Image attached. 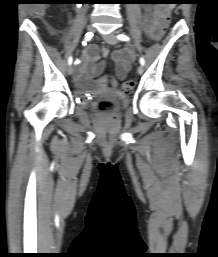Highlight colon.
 <instances>
[{
  "instance_id": "5ec220e1",
  "label": "colon",
  "mask_w": 218,
  "mask_h": 257,
  "mask_svg": "<svg viewBox=\"0 0 218 257\" xmlns=\"http://www.w3.org/2000/svg\"><path fill=\"white\" fill-rule=\"evenodd\" d=\"M167 15H165V21H158L156 28L154 30V39H163V35L167 34V31H171L172 22V8H167ZM92 84H95V90H114L116 84H118V79H115V74H112L111 70H105L104 74H96V79L91 80ZM135 83L133 80H128L123 85V90L125 92H130ZM99 111L101 113L107 114L112 109V103L109 101H102L99 103Z\"/></svg>"
}]
</instances>
